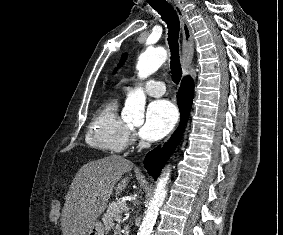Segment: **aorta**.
Segmentation results:
<instances>
[{
    "instance_id": "aorta-1",
    "label": "aorta",
    "mask_w": 283,
    "mask_h": 235,
    "mask_svg": "<svg viewBox=\"0 0 283 235\" xmlns=\"http://www.w3.org/2000/svg\"><path fill=\"white\" fill-rule=\"evenodd\" d=\"M167 59V51L164 48L149 49L140 54L137 63L140 78H147L155 73ZM146 97L141 89L131 93L125 102L122 118L125 121L142 122L144 118ZM170 171L163 172L159 177L154 195L147 207L145 216L137 232V235H151L156 222L159 208L162 206L167 195V183Z\"/></svg>"
}]
</instances>
